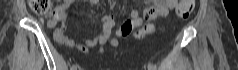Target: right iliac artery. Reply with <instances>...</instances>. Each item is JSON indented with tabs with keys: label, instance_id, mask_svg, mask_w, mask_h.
I'll return each mask as SVG.
<instances>
[{
	"label": "right iliac artery",
	"instance_id": "1",
	"mask_svg": "<svg viewBox=\"0 0 238 70\" xmlns=\"http://www.w3.org/2000/svg\"><path fill=\"white\" fill-rule=\"evenodd\" d=\"M71 70H76V66L73 65V66L71 67Z\"/></svg>",
	"mask_w": 238,
	"mask_h": 70
}]
</instances>
